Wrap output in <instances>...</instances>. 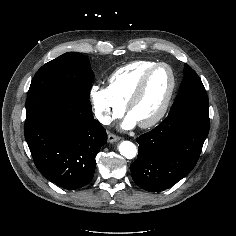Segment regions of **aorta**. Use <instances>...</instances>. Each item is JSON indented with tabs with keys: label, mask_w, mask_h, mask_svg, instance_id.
<instances>
[{
	"label": "aorta",
	"mask_w": 236,
	"mask_h": 236,
	"mask_svg": "<svg viewBox=\"0 0 236 236\" xmlns=\"http://www.w3.org/2000/svg\"><path fill=\"white\" fill-rule=\"evenodd\" d=\"M119 151L122 156L127 159H132L137 154L136 146L130 141H123L119 145Z\"/></svg>",
	"instance_id": "762f6f07"
}]
</instances>
